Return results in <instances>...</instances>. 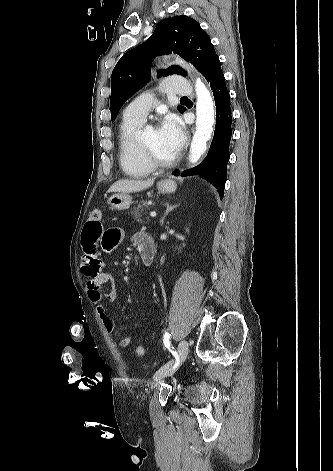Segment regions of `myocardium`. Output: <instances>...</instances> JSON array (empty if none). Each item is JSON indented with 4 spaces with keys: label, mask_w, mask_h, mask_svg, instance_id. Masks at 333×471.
Returning <instances> with one entry per match:
<instances>
[{
    "label": "myocardium",
    "mask_w": 333,
    "mask_h": 471,
    "mask_svg": "<svg viewBox=\"0 0 333 471\" xmlns=\"http://www.w3.org/2000/svg\"><path fill=\"white\" fill-rule=\"evenodd\" d=\"M139 144L145 158L154 168H168V167L173 166L177 161L176 157H173L170 160H162L158 158L156 155L153 154L152 151L148 149V147L146 146V144L144 143L142 139H139Z\"/></svg>",
    "instance_id": "obj_1"
}]
</instances>
